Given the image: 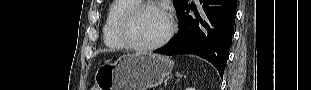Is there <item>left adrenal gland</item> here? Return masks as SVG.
I'll return each instance as SVG.
<instances>
[{
	"mask_svg": "<svg viewBox=\"0 0 311 90\" xmlns=\"http://www.w3.org/2000/svg\"><path fill=\"white\" fill-rule=\"evenodd\" d=\"M177 77H178V80H180V78H182V75H180L179 73H176ZM177 80V81H178Z\"/></svg>",
	"mask_w": 311,
	"mask_h": 90,
	"instance_id": "left-adrenal-gland-1",
	"label": "left adrenal gland"
}]
</instances>
